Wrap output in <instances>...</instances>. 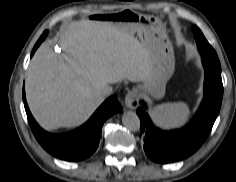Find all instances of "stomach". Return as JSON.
<instances>
[{"label": "stomach", "mask_w": 236, "mask_h": 182, "mask_svg": "<svg viewBox=\"0 0 236 182\" xmlns=\"http://www.w3.org/2000/svg\"><path fill=\"white\" fill-rule=\"evenodd\" d=\"M90 19L95 24L127 29L131 34L137 33L151 50V71L148 78L136 91L142 96L160 99L165 94V85L175 69V57L172 43L159 18L123 10L116 14L95 11Z\"/></svg>", "instance_id": "0dacf381"}]
</instances>
